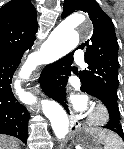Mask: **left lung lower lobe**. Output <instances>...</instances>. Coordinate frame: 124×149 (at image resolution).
I'll return each instance as SVG.
<instances>
[{"label":"left lung lower lobe","mask_w":124,"mask_h":149,"mask_svg":"<svg viewBox=\"0 0 124 149\" xmlns=\"http://www.w3.org/2000/svg\"><path fill=\"white\" fill-rule=\"evenodd\" d=\"M73 53L74 52H71L60 60L47 65L43 69L40 77V84L44 93L48 97L59 102L65 109H67V105L65 104V86L68 76L71 75L72 71L71 65L73 63ZM81 90L103 102L107 107L110 116V120L104 128L115 132L124 140L117 100L105 91L84 84H82Z\"/></svg>","instance_id":"obj_1"}]
</instances>
